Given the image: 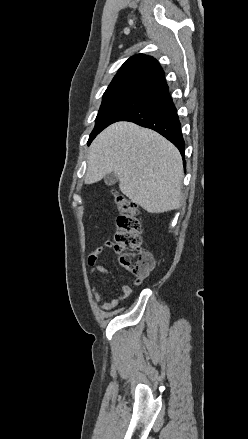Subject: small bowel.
<instances>
[{"label":"small bowel","mask_w":248,"mask_h":439,"mask_svg":"<svg viewBox=\"0 0 248 439\" xmlns=\"http://www.w3.org/2000/svg\"><path fill=\"white\" fill-rule=\"evenodd\" d=\"M112 247L111 243H105L103 246L97 248L88 257V265L90 267V284L92 286L94 296L97 300L98 306L105 311L112 310L117 307L121 302L125 301L132 293L130 286L124 285L121 287L115 297L110 300H106L97 285V278L100 275H105L108 270L100 263L101 253Z\"/></svg>","instance_id":"obj_1"}]
</instances>
